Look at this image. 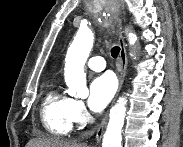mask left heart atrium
I'll list each match as a JSON object with an SVG mask.
<instances>
[{"label":"left heart atrium","instance_id":"39dd6f15","mask_svg":"<svg viewBox=\"0 0 183 147\" xmlns=\"http://www.w3.org/2000/svg\"><path fill=\"white\" fill-rule=\"evenodd\" d=\"M117 89V82L109 73L96 77L90 84L88 105L94 112L102 111L112 100Z\"/></svg>","mask_w":183,"mask_h":147}]
</instances>
